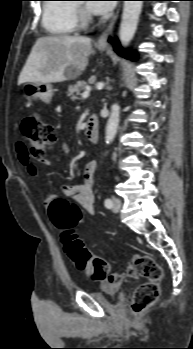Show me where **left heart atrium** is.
Listing matches in <instances>:
<instances>
[{
  "label": "left heart atrium",
  "mask_w": 193,
  "mask_h": 349,
  "mask_svg": "<svg viewBox=\"0 0 193 349\" xmlns=\"http://www.w3.org/2000/svg\"><path fill=\"white\" fill-rule=\"evenodd\" d=\"M113 7V2L109 1H92L88 4V9L94 14L108 13Z\"/></svg>",
  "instance_id": "obj_1"
}]
</instances>
